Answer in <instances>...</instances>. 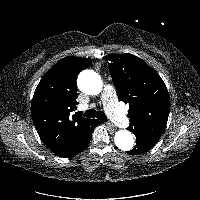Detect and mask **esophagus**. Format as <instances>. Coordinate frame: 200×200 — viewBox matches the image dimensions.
Listing matches in <instances>:
<instances>
[{
	"label": "esophagus",
	"mask_w": 200,
	"mask_h": 200,
	"mask_svg": "<svg viewBox=\"0 0 200 200\" xmlns=\"http://www.w3.org/2000/svg\"><path fill=\"white\" fill-rule=\"evenodd\" d=\"M107 125H108V127L111 128L112 130H116L115 125H113L112 123L108 122Z\"/></svg>",
	"instance_id": "obj_1"
}]
</instances>
